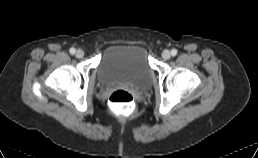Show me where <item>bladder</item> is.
Here are the masks:
<instances>
[{"instance_id": "1", "label": "bladder", "mask_w": 258, "mask_h": 158, "mask_svg": "<svg viewBox=\"0 0 258 158\" xmlns=\"http://www.w3.org/2000/svg\"><path fill=\"white\" fill-rule=\"evenodd\" d=\"M152 75L147 50L140 44L110 45L98 69V78L104 84L127 83L137 88L147 87Z\"/></svg>"}]
</instances>
